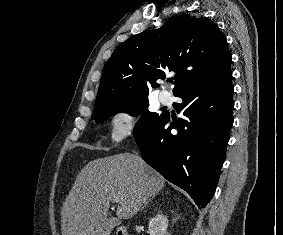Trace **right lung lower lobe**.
<instances>
[{"instance_id":"1","label":"right lung lower lobe","mask_w":283,"mask_h":235,"mask_svg":"<svg viewBox=\"0 0 283 235\" xmlns=\"http://www.w3.org/2000/svg\"><path fill=\"white\" fill-rule=\"evenodd\" d=\"M231 71L174 94L184 118L163 117L135 137L143 159L168 181L184 189L199 208L210 202L225 159L233 124ZM176 129L177 133H171Z\"/></svg>"}]
</instances>
